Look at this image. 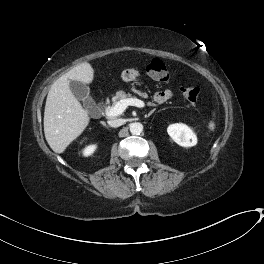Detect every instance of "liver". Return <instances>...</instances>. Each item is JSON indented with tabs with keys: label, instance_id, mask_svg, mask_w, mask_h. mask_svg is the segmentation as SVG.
<instances>
[{
	"label": "liver",
	"instance_id": "obj_1",
	"mask_svg": "<svg viewBox=\"0 0 264 264\" xmlns=\"http://www.w3.org/2000/svg\"><path fill=\"white\" fill-rule=\"evenodd\" d=\"M94 70L83 62L59 77L47 95L44 111L46 141L56 153H63L79 137L90 122V116L70 89V81L92 83Z\"/></svg>",
	"mask_w": 264,
	"mask_h": 264
}]
</instances>
